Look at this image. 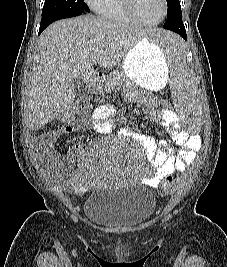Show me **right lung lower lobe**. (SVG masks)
I'll use <instances>...</instances> for the list:
<instances>
[{"label": "right lung lower lobe", "instance_id": "98d812e1", "mask_svg": "<svg viewBox=\"0 0 227 267\" xmlns=\"http://www.w3.org/2000/svg\"><path fill=\"white\" fill-rule=\"evenodd\" d=\"M82 13L78 14H68V15H61V16H47V17H42L41 19V24H40V29H39V34L47 27L49 26L52 22L59 20V19H64V18H69V17H74L81 15Z\"/></svg>", "mask_w": 227, "mask_h": 267}]
</instances>
